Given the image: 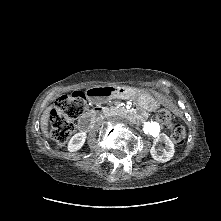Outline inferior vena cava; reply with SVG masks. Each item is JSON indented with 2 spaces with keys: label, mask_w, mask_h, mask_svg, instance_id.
Wrapping results in <instances>:
<instances>
[{
  "label": "inferior vena cava",
  "mask_w": 221,
  "mask_h": 221,
  "mask_svg": "<svg viewBox=\"0 0 221 221\" xmlns=\"http://www.w3.org/2000/svg\"><path fill=\"white\" fill-rule=\"evenodd\" d=\"M114 116V114H109V119H111Z\"/></svg>",
  "instance_id": "1"
}]
</instances>
